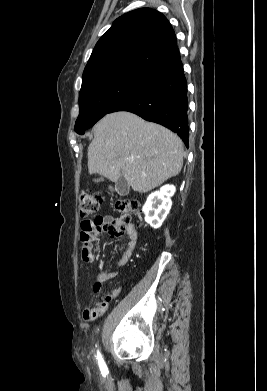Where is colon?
Masks as SVG:
<instances>
[{"label":"colon","mask_w":267,"mask_h":391,"mask_svg":"<svg viewBox=\"0 0 267 391\" xmlns=\"http://www.w3.org/2000/svg\"><path fill=\"white\" fill-rule=\"evenodd\" d=\"M103 201V197L98 192L90 190L82 191L79 196V213L82 218H88L94 216ZM116 209L119 211L120 216L116 221L120 225L129 223L132 217L140 212V203L137 200H121L116 203ZM99 216L95 217V220ZM81 245L86 246V238H82Z\"/></svg>","instance_id":"5ec220e1"}]
</instances>
